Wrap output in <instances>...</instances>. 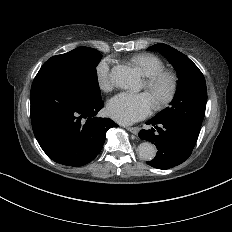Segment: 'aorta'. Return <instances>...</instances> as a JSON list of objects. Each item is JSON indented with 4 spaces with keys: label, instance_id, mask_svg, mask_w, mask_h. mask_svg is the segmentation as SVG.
<instances>
[{
    "label": "aorta",
    "instance_id": "aorta-1",
    "mask_svg": "<svg viewBox=\"0 0 232 232\" xmlns=\"http://www.w3.org/2000/svg\"><path fill=\"white\" fill-rule=\"evenodd\" d=\"M111 82L122 89H134L139 84V76L132 68L126 65H116L110 73ZM157 149L150 142H143L138 146V154L141 159L151 161L156 155Z\"/></svg>",
    "mask_w": 232,
    "mask_h": 232
}]
</instances>
